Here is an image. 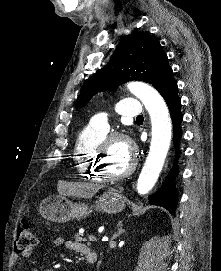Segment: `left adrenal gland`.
<instances>
[{"instance_id": "obj_1", "label": "left adrenal gland", "mask_w": 221, "mask_h": 271, "mask_svg": "<svg viewBox=\"0 0 221 271\" xmlns=\"http://www.w3.org/2000/svg\"><path fill=\"white\" fill-rule=\"evenodd\" d=\"M122 225H123L122 221H118L117 231H115V233H114L115 237H118V235H121V233H123V231H125V229H123Z\"/></svg>"}]
</instances>
